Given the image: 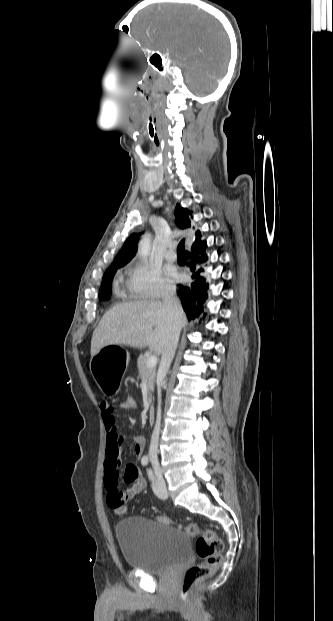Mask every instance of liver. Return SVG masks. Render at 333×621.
<instances>
[{
  "mask_svg": "<svg viewBox=\"0 0 333 621\" xmlns=\"http://www.w3.org/2000/svg\"><path fill=\"white\" fill-rule=\"evenodd\" d=\"M178 321L181 327L187 325L182 309ZM169 327L170 319L163 302L134 301L116 305L103 315L93 332L91 356L108 345H127L139 349L149 346L156 354H161Z\"/></svg>",
  "mask_w": 333,
  "mask_h": 621,
  "instance_id": "1",
  "label": "liver"
}]
</instances>
